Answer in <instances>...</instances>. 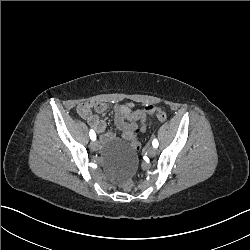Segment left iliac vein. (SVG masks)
Listing matches in <instances>:
<instances>
[{
	"mask_svg": "<svg viewBox=\"0 0 250 250\" xmlns=\"http://www.w3.org/2000/svg\"><path fill=\"white\" fill-rule=\"evenodd\" d=\"M146 152L150 157H153L157 154V149L150 146L146 148Z\"/></svg>",
	"mask_w": 250,
	"mask_h": 250,
	"instance_id": "1",
	"label": "left iliac vein"
}]
</instances>
